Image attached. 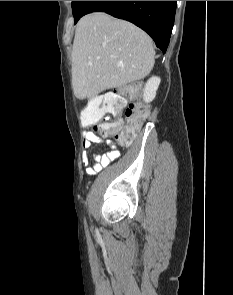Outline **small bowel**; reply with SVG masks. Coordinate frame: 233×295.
I'll use <instances>...</instances> for the list:
<instances>
[{"instance_id":"c3829d8e","label":"small bowel","mask_w":233,"mask_h":295,"mask_svg":"<svg viewBox=\"0 0 233 295\" xmlns=\"http://www.w3.org/2000/svg\"><path fill=\"white\" fill-rule=\"evenodd\" d=\"M102 139L97 136L95 133L91 131H87L84 134V140L82 142V159L84 164L86 165V173L88 175H94L100 172L103 168L109 165L110 162L117 159L120 155L118 149L112 147L107 153L103 155L93 154L91 162L90 157L88 155V150L92 147L93 143H100Z\"/></svg>"}]
</instances>
